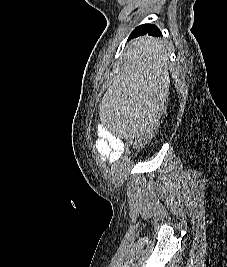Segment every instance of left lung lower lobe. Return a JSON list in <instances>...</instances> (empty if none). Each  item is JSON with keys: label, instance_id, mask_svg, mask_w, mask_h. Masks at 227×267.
Returning a JSON list of instances; mask_svg holds the SVG:
<instances>
[{"label": "left lung lower lobe", "instance_id": "left-lung-lower-lobe-1", "mask_svg": "<svg viewBox=\"0 0 227 267\" xmlns=\"http://www.w3.org/2000/svg\"><path fill=\"white\" fill-rule=\"evenodd\" d=\"M145 34H148L149 36H162L161 31L158 29L156 25L153 24H143L138 27H136L130 34L128 40L143 36Z\"/></svg>", "mask_w": 227, "mask_h": 267}]
</instances>
